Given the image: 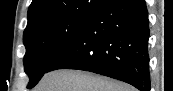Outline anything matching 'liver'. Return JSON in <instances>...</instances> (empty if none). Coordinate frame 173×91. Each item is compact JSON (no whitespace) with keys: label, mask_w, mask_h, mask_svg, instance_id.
Here are the masks:
<instances>
[{"label":"liver","mask_w":173,"mask_h":91,"mask_svg":"<svg viewBox=\"0 0 173 91\" xmlns=\"http://www.w3.org/2000/svg\"><path fill=\"white\" fill-rule=\"evenodd\" d=\"M33 91H135L130 85L79 70L60 69L44 74Z\"/></svg>","instance_id":"1"}]
</instances>
